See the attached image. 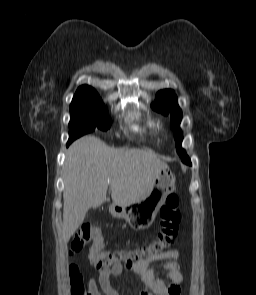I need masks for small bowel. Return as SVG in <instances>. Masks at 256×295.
<instances>
[{"label":"small bowel","instance_id":"1","mask_svg":"<svg viewBox=\"0 0 256 295\" xmlns=\"http://www.w3.org/2000/svg\"><path fill=\"white\" fill-rule=\"evenodd\" d=\"M179 257L180 252L178 250H171L155 258L134 261L126 268L139 277L143 286L141 295H180L183 275L177 262ZM157 261H164L161 270L166 273L167 282L157 276V269L153 267V263ZM124 269L123 264L99 269L98 284L104 295H120L112 285V278L120 275ZM88 285L92 295H101L95 279H90Z\"/></svg>","mask_w":256,"mask_h":295}]
</instances>
